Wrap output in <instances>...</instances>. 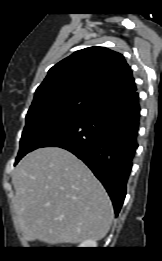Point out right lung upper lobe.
Wrapping results in <instances>:
<instances>
[{"label": "right lung upper lobe", "mask_w": 162, "mask_h": 261, "mask_svg": "<svg viewBox=\"0 0 162 261\" xmlns=\"http://www.w3.org/2000/svg\"><path fill=\"white\" fill-rule=\"evenodd\" d=\"M135 90L131 68L123 55L94 46L76 51L53 66L34 99L79 92L103 103Z\"/></svg>", "instance_id": "cb5924a9"}]
</instances>
